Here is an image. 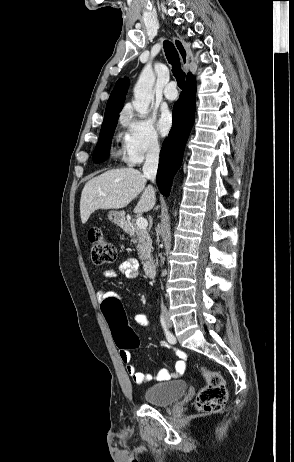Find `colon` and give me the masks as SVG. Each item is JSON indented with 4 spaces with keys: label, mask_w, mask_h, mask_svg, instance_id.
<instances>
[{
    "label": "colon",
    "mask_w": 294,
    "mask_h": 462,
    "mask_svg": "<svg viewBox=\"0 0 294 462\" xmlns=\"http://www.w3.org/2000/svg\"><path fill=\"white\" fill-rule=\"evenodd\" d=\"M88 240L91 247V259L95 265H107L115 261V248L99 229H90ZM101 308L117 347L123 350L136 349L139 346V338L128 325L120 300L113 294L107 296L103 299ZM201 374L206 385L196 396V406L206 413L218 412L227 401L225 381L218 372L203 368Z\"/></svg>",
    "instance_id": "obj_1"
}]
</instances>
